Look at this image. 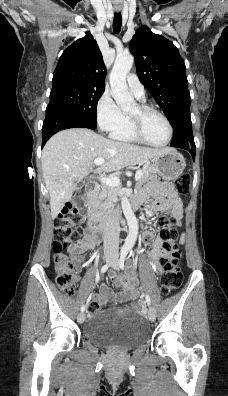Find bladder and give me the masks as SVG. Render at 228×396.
<instances>
[{
  "label": "bladder",
  "mask_w": 228,
  "mask_h": 396,
  "mask_svg": "<svg viewBox=\"0 0 228 396\" xmlns=\"http://www.w3.org/2000/svg\"><path fill=\"white\" fill-rule=\"evenodd\" d=\"M149 330L137 313L119 316L112 311L91 316L83 328V337L94 345L120 350L131 349L148 338Z\"/></svg>",
  "instance_id": "31cf9c89"
}]
</instances>
